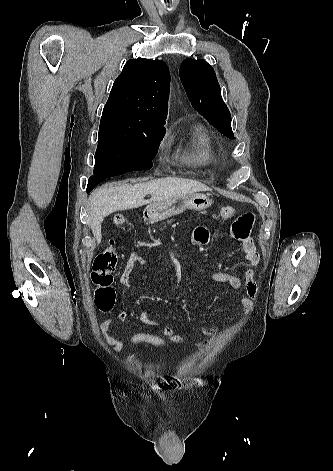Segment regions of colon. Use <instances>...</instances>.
<instances>
[{
	"mask_svg": "<svg viewBox=\"0 0 333 471\" xmlns=\"http://www.w3.org/2000/svg\"><path fill=\"white\" fill-rule=\"evenodd\" d=\"M235 214V208L224 206L219 209V215L228 219ZM116 226H123L126 218L123 215H116L113 220ZM118 256L114 241H110L108 246L101 251L93 262L91 274L92 282L95 285L94 299L97 308L102 311H109L115 301V291L113 289V273L116 269ZM132 345H146L163 347L169 341L163 336L151 332H135L129 337Z\"/></svg>",
	"mask_w": 333,
	"mask_h": 471,
	"instance_id": "1",
	"label": "colon"
}]
</instances>
